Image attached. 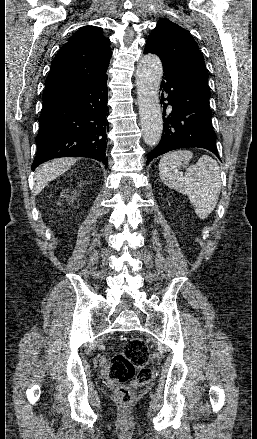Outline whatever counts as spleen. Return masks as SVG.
<instances>
[{"label":"spleen","mask_w":257,"mask_h":439,"mask_svg":"<svg viewBox=\"0 0 257 439\" xmlns=\"http://www.w3.org/2000/svg\"><path fill=\"white\" fill-rule=\"evenodd\" d=\"M192 156L189 150L165 154L159 162V176L166 186L187 195L196 215L205 220L219 199L222 185L220 169L216 160L203 155L196 165L186 168L183 175L179 169L187 165Z\"/></svg>","instance_id":"1"}]
</instances>
